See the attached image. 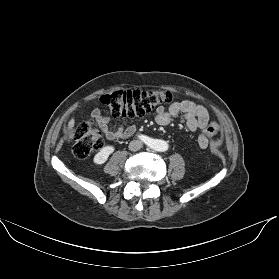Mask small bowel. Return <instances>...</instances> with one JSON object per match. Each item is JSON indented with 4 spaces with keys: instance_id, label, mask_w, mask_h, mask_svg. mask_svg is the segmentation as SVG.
Returning a JSON list of instances; mask_svg holds the SVG:
<instances>
[{
    "instance_id": "c3829d8e",
    "label": "small bowel",
    "mask_w": 279,
    "mask_h": 279,
    "mask_svg": "<svg viewBox=\"0 0 279 279\" xmlns=\"http://www.w3.org/2000/svg\"><path fill=\"white\" fill-rule=\"evenodd\" d=\"M180 114L183 115V119L191 131L202 130V133L198 137V145L201 149H206L210 139L206 134V129L211 123L209 124V113L203 106L190 100L174 102L168 108L159 107L156 111L155 121L159 125L164 126L169 124L174 117ZM91 116L96 121L97 126L110 140L127 137L135 130L134 126L125 128L123 125H120L115 131L108 130L106 125L108 118L103 116L98 108L92 111Z\"/></svg>"
}]
</instances>
